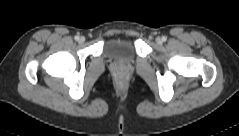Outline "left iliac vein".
<instances>
[{
	"mask_svg": "<svg viewBox=\"0 0 239 136\" xmlns=\"http://www.w3.org/2000/svg\"><path fill=\"white\" fill-rule=\"evenodd\" d=\"M156 43H157V44H162V39H161L160 37H157V38H156Z\"/></svg>",
	"mask_w": 239,
	"mask_h": 136,
	"instance_id": "1",
	"label": "left iliac vein"
}]
</instances>
